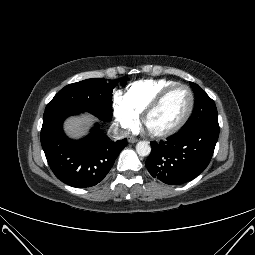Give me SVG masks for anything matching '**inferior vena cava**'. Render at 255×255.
<instances>
[{"label":"inferior vena cava","mask_w":255,"mask_h":255,"mask_svg":"<svg viewBox=\"0 0 255 255\" xmlns=\"http://www.w3.org/2000/svg\"><path fill=\"white\" fill-rule=\"evenodd\" d=\"M109 134L111 137L118 140L125 138L128 135V132L117 127H112Z\"/></svg>","instance_id":"obj_1"}]
</instances>
